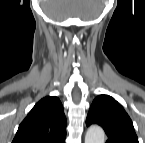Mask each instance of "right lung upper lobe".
<instances>
[{"label": "right lung upper lobe", "instance_id": "1", "mask_svg": "<svg viewBox=\"0 0 145 143\" xmlns=\"http://www.w3.org/2000/svg\"><path fill=\"white\" fill-rule=\"evenodd\" d=\"M66 118L60 100L41 99L19 125L13 143H64Z\"/></svg>", "mask_w": 145, "mask_h": 143}]
</instances>
